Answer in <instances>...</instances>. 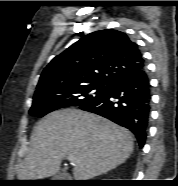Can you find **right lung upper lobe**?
I'll list each match as a JSON object with an SVG mask.
<instances>
[{"label":"right lung upper lobe","mask_w":178,"mask_h":186,"mask_svg":"<svg viewBox=\"0 0 178 186\" xmlns=\"http://www.w3.org/2000/svg\"><path fill=\"white\" fill-rule=\"evenodd\" d=\"M143 64L138 46L126 34L111 29L96 31L83 36L47 65L35 93L92 83L109 84Z\"/></svg>","instance_id":"1"}]
</instances>
